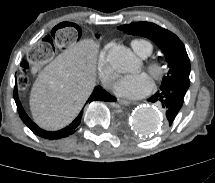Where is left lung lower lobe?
Returning a JSON list of instances; mask_svg holds the SVG:
<instances>
[{"instance_id":"left-lung-lower-lobe-1","label":"left lung lower lobe","mask_w":215,"mask_h":183,"mask_svg":"<svg viewBox=\"0 0 215 183\" xmlns=\"http://www.w3.org/2000/svg\"><path fill=\"white\" fill-rule=\"evenodd\" d=\"M187 90L188 88L181 84L168 83L162 85L148 101L157 102L164 108L169 125H171L183 105Z\"/></svg>"}]
</instances>
